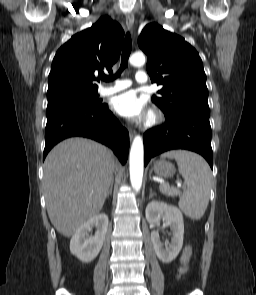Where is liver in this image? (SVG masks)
Wrapping results in <instances>:
<instances>
[{
    "label": "liver",
    "mask_w": 256,
    "mask_h": 295,
    "mask_svg": "<svg viewBox=\"0 0 256 295\" xmlns=\"http://www.w3.org/2000/svg\"><path fill=\"white\" fill-rule=\"evenodd\" d=\"M117 166L102 144L69 138L57 144L44 162L43 187L51 223L72 236L101 211Z\"/></svg>",
    "instance_id": "6515ba94"
}]
</instances>
